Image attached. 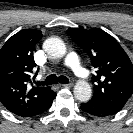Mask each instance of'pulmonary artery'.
I'll use <instances>...</instances> for the list:
<instances>
[{
    "label": "pulmonary artery",
    "mask_w": 133,
    "mask_h": 133,
    "mask_svg": "<svg viewBox=\"0 0 133 133\" xmlns=\"http://www.w3.org/2000/svg\"><path fill=\"white\" fill-rule=\"evenodd\" d=\"M65 65L70 67L76 76L86 79L88 77L87 71L82 67L80 59L75 52H70L65 58Z\"/></svg>",
    "instance_id": "obj_1"
}]
</instances>
